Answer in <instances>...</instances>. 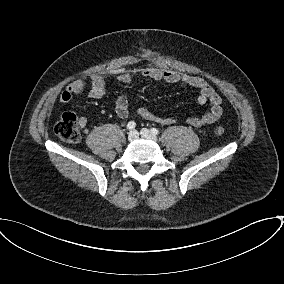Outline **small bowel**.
Masks as SVG:
<instances>
[{
    "label": "small bowel",
    "instance_id": "small-bowel-1",
    "mask_svg": "<svg viewBox=\"0 0 284 284\" xmlns=\"http://www.w3.org/2000/svg\"><path fill=\"white\" fill-rule=\"evenodd\" d=\"M142 75L146 78L158 81H164L171 84H177L182 87H189L198 90L197 102L200 105H209L210 109L202 116H193L188 119V124L193 127H200L205 124H212L218 121L223 113L222 97L213 89V87L203 78L182 74L172 70L147 67L142 70ZM116 79L123 83H130L132 75L127 70H119L115 73ZM107 88V77L101 74H92L71 82L61 93L59 101L63 105H68L73 96L83 94L87 89V96L90 99H100L104 97ZM115 111L120 119L128 117V99L121 95L116 99ZM138 115L147 121L160 123L162 125H172L175 121L169 117L156 115L147 107L138 109ZM79 124L84 127L87 120L84 117L79 119Z\"/></svg>",
    "mask_w": 284,
    "mask_h": 284
}]
</instances>
